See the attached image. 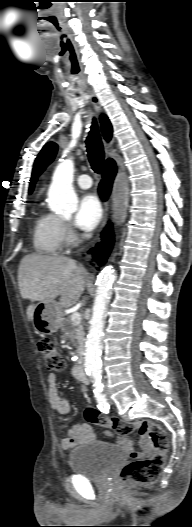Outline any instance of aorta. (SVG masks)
<instances>
[{"mask_svg": "<svg viewBox=\"0 0 192 527\" xmlns=\"http://www.w3.org/2000/svg\"><path fill=\"white\" fill-rule=\"evenodd\" d=\"M73 176L74 162L71 159L59 163L54 171L49 189V206L56 213L70 214L77 210L78 199L72 186ZM117 192L121 201L124 202L127 195V179L124 173L118 176ZM113 280L114 270L112 266H106L97 278L96 296L84 355L86 374L94 383L101 380L106 309L112 295Z\"/></svg>", "mask_w": 192, "mask_h": 527, "instance_id": "obj_1", "label": "aorta"}]
</instances>
